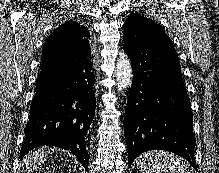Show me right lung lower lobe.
Wrapping results in <instances>:
<instances>
[{
  "instance_id": "right-lung-lower-lobe-1",
  "label": "right lung lower lobe",
  "mask_w": 219,
  "mask_h": 173,
  "mask_svg": "<svg viewBox=\"0 0 219 173\" xmlns=\"http://www.w3.org/2000/svg\"><path fill=\"white\" fill-rule=\"evenodd\" d=\"M72 57L62 65L42 61L20 158L36 147L52 145L70 150L87 171V134L96 106L94 68L91 58Z\"/></svg>"
}]
</instances>
